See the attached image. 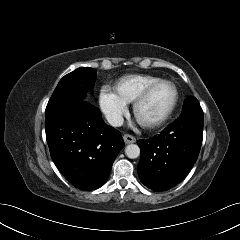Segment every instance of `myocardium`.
Returning <instances> with one entry per match:
<instances>
[{"mask_svg": "<svg viewBox=\"0 0 240 240\" xmlns=\"http://www.w3.org/2000/svg\"><path fill=\"white\" fill-rule=\"evenodd\" d=\"M164 85H168L173 87L174 92H175V96H174V100L171 104V106L169 107V109L160 117L154 119V120H145L143 118L140 117L139 115V108L140 106L150 97V95L159 87L164 86ZM180 99V93H179V89L178 87L171 81L168 80H162L159 81L155 84H152L151 86H149L148 88H146L133 102V113L135 118L137 119V121L143 125L144 127L147 128H155L158 126H161L162 124H164L169 118L170 116L173 114V112L175 111L178 102Z\"/></svg>", "mask_w": 240, "mask_h": 240, "instance_id": "f54148a6", "label": "myocardium"}]
</instances>
